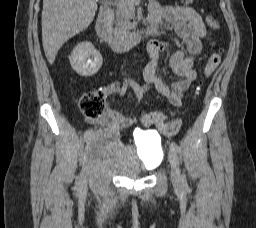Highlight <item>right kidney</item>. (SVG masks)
<instances>
[{
	"instance_id": "obj_1",
	"label": "right kidney",
	"mask_w": 256,
	"mask_h": 228,
	"mask_svg": "<svg viewBox=\"0 0 256 228\" xmlns=\"http://www.w3.org/2000/svg\"><path fill=\"white\" fill-rule=\"evenodd\" d=\"M69 59L71 67L82 77L93 76L103 63L100 52L90 42L79 43Z\"/></svg>"
}]
</instances>
